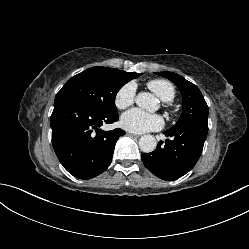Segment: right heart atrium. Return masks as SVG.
Masks as SVG:
<instances>
[{
	"mask_svg": "<svg viewBox=\"0 0 249 249\" xmlns=\"http://www.w3.org/2000/svg\"><path fill=\"white\" fill-rule=\"evenodd\" d=\"M136 86L129 82L119 88L115 94L114 103L118 109H126L134 103Z\"/></svg>",
	"mask_w": 249,
	"mask_h": 249,
	"instance_id": "right-heart-atrium-1",
	"label": "right heart atrium"
}]
</instances>
